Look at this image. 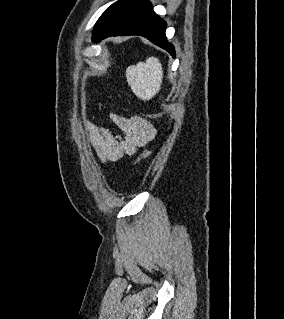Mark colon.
Returning a JSON list of instances; mask_svg holds the SVG:
<instances>
[{
    "mask_svg": "<svg viewBox=\"0 0 284 319\" xmlns=\"http://www.w3.org/2000/svg\"><path fill=\"white\" fill-rule=\"evenodd\" d=\"M162 114H154V115H150V117L152 118H159L161 117ZM149 152L148 151H145L144 153H142V155L138 158V162H140L141 160L147 158L149 156Z\"/></svg>",
    "mask_w": 284,
    "mask_h": 319,
    "instance_id": "5ec220e1",
    "label": "colon"
}]
</instances>
